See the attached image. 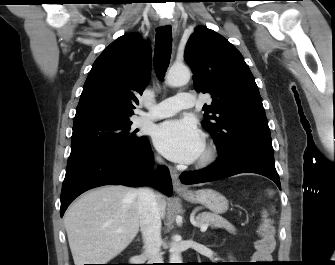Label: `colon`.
Masks as SVG:
<instances>
[{
    "instance_id": "obj_1",
    "label": "colon",
    "mask_w": 335,
    "mask_h": 265,
    "mask_svg": "<svg viewBox=\"0 0 335 265\" xmlns=\"http://www.w3.org/2000/svg\"><path fill=\"white\" fill-rule=\"evenodd\" d=\"M275 249V238L272 228L268 224L261 225L259 239L256 242L254 261L257 265H268L271 263V256Z\"/></svg>"
}]
</instances>
